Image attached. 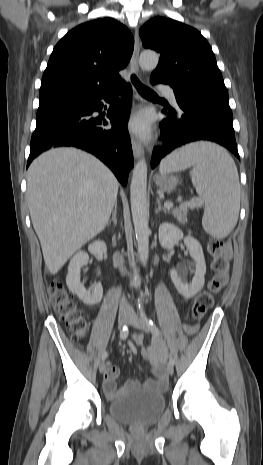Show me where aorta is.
<instances>
[{
  "label": "aorta",
  "mask_w": 263,
  "mask_h": 465,
  "mask_svg": "<svg viewBox=\"0 0 263 465\" xmlns=\"http://www.w3.org/2000/svg\"><path fill=\"white\" fill-rule=\"evenodd\" d=\"M158 62L159 55L154 51H143L140 54L139 64L143 69H154L158 65ZM146 190L147 163L145 159H141L136 163L133 169L130 185V201L138 252L144 265L148 260L150 235L147 218Z\"/></svg>",
  "instance_id": "1"
}]
</instances>
